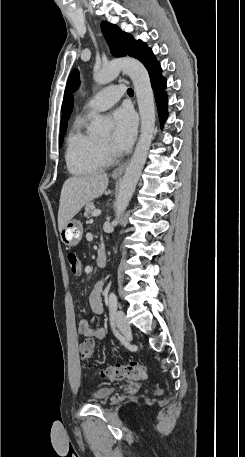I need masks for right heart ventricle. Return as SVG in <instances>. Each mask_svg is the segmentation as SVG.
<instances>
[{"instance_id": "obj_1", "label": "right heart ventricle", "mask_w": 245, "mask_h": 457, "mask_svg": "<svg viewBox=\"0 0 245 457\" xmlns=\"http://www.w3.org/2000/svg\"><path fill=\"white\" fill-rule=\"evenodd\" d=\"M67 160L74 172H88L103 169L106 156L99 152L98 139L89 133L84 121H75L67 136Z\"/></svg>"}]
</instances>
